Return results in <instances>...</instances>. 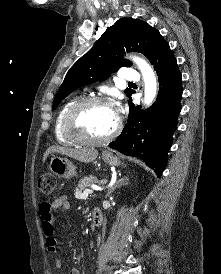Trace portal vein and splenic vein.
<instances>
[{"instance_id":"portal-vein-and-splenic-vein-1","label":"portal vein and splenic vein","mask_w":221,"mask_h":274,"mask_svg":"<svg viewBox=\"0 0 221 274\" xmlns=\"http://www.w3.org/2000/svg\"><path fill=\"white\" fill-rule=\"evenodd\" d=\"M94 190H100V188L97 186H94L92 187V189H85L83 194H81V198H86L89 194H92Z\"/></svg>"}]
</instances>
